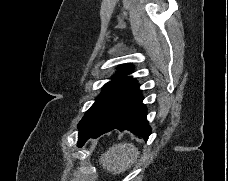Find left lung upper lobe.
<instances>
[{"label":"left lung upper lobe","instance_id":"obj_1","mask_svg":"<svg viewBox=\"0 0 228 181\" xmlns=\"http://www.w3.org/2000/svg\"><path fill=\"white\" fill-rule=\"evenodd\" d=\"M132 69V65L120 67L113 80L103 87V92L78 124L79 132L107 128L120 122L139 87L135 79L126 76Z\"/></svg>","mask_w":228,"mask_h":181}]
</instances>
